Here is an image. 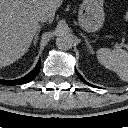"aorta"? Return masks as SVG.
Here are the masks:
<instances>
[{"instance_id":"obj_1","label":"aorta","mask_w":128,"mask_h":128,"mask_svg":"<svg viewBox=\"0 0 128 128\" xmlns=\"http://www.w3.org/2000/svg\"><path fill=\"white\" fill-rule=\"evenodd\" d=\"M74 38L69 33H62L57 37L56 43L61 50L71 49L73 46Z\"/></svg>"}]
</instances>
